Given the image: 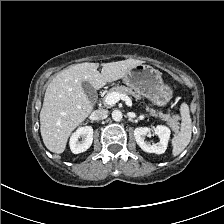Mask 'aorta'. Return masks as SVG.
I'll return each instance as SVG.
<instances>
[{"label":"aorta","mask_w":224,"mask_h":224,"mask_svg":"<svg viewBox=\"0 0 224 224\" xmlns=\"http://www.w3.org/2000/svg\"><path fill=\"white\" fill-rule=\"evenodd\" d=\"M112 118L114 121H120L122 119V113L120 110H113Z\"/></svg>","instance_id":"aorta-1"}]
</instances>
